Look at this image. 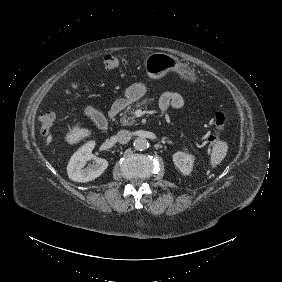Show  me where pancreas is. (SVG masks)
<instances>
[{
  "mask_svg": "<svg viewBox=\"0 0 282 282\" xmlns=\"http://www.w3.org/2000/svg\"><path fill=\"white\" fill-rule=\"evenodd\" d=\"M146 100L136 103L134 106H129L120 114V123L123 125H135V110L137 108L142 109Z\"/></svg>",
  "mask_w": 282,
  "mask_h": 282,
  "instance_id": "cf45deb5",
  "label": "pancreas"
}]
</instances>
